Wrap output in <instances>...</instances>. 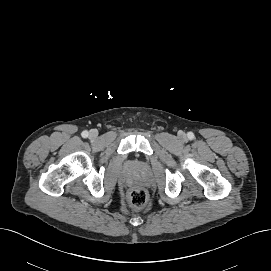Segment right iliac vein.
<instances>
[{
    "mask_svg": "<svg viewBox=\"0 0 271 271\" xmlns=\"http://www.w3.org/2000/svg\"><path fill=\"white\" fill-rule=\"evenodd\" d=\"M97 136H98L97 130H95V129L90 130V132H89V137H90L91 139H95V138H97Z\"/></svg>",
    "mask_w": 271,
    "mask_h": 271,
    "instance_id": "obj_1",
    "label": "right iliac vein"
}]
</instances>
